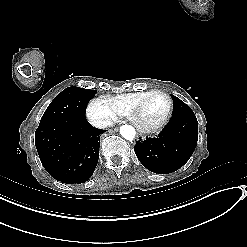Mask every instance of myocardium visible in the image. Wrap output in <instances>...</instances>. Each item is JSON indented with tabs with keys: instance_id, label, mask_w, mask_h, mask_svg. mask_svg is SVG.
Here are the masks:
<instances>
[{
	"instance_id": "f54148a6",
	"label": "myocardium",
	"mask_w": 247,
	"mask_h": 247,
	"mask_svg": "<svg viewBox=\"0 0 247 247\" xmlns=\"http://www.w3.org/2000/svg\"><path fill=\"white\" fill-rule=\"evenodd\" d=\"M154 95H161L165 97L167 100V105L163 116L155 122H150L147 120L146 115L144 113V104L147 98ZM172 107H173L172 98L167 93L160 90H151L144 99L138 101L135 104V108L138 112V119L136 122V127L138 131L140 133H150L161 128L169 120L172 114Z\"/></svg>"
}]
</instances>
